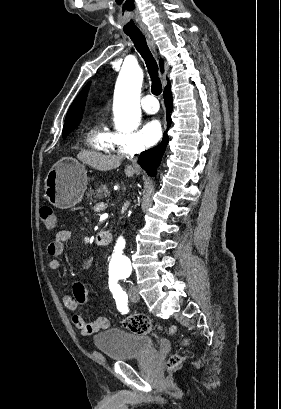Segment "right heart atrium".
<instances>
[{
  "label": "right heart atrium",
  "mask_w": 281,
  "mask_h": 409,
  "mask_svg": "<svg viewBox=\"0 0 281 409\" xmlns=\"http://www.w3.org/2000/svg\"><path fill=\"white\" fill-rule=\"evenodd\" d=\"M125 118V134H116V143L128 152H138L144 149V144L137 133L140 122L139 115H122Z\"/></svg>",
  "instance_id": "obj_1"
}]
</instances>
